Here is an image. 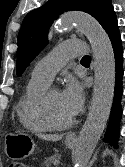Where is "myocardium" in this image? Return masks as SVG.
Returning a JSON list of instances; mask_svg holds the SVG:
<instances>
[{"mask_svg":"<svg viewBox=\"0 0 125 167\" xmlns=\"http://www.w3.org/2000/svg\"><path fill=\"white\" fill-rule=\"evenodd\" d=\"M54 90L55 89H48L43 94L40 101V107H39L40 116L42 121L50 130H65L70 128L73 125L74 117H71L69 120L62 123L56 122L53 119L50 113V108H49V96L51 92H53Z\"/></svg>","mask_w":125,"mask_h":167,"instance_id":"1","label":"myocardium"}]
</instances>
